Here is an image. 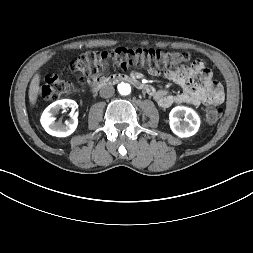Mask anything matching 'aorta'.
I'll list each match as a JSON object with an SVG mask.
<instances>
[{
    "mask_svg": "<svg viewBox=\"0 0 253 253\" xmlns=\"http://www.w3.org/2000/svg\"><path fill=\"white\" fill-rule=\"evenodd\" d=\"M118 91L121 95H128L131 93V87L128 83H120L118 84Z\"/></svg>",
    "mask_w": 253,
    "mask_h": 253,
    "instance_id": "1",
    "label": "aorta"
}]
</instances>
